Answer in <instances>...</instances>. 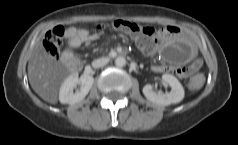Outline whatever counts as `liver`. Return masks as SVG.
Returning <instances> with one entry per match:
<instances>
[{
  "label": "liver",
  "mask_w": 238,
  "mask_h": 145,
  "mask_svg": "<svg viewBox=\"0 0 238 145\" xmlns=\"http://www.w3.org/2000/svg\"><path fill=\"white\" fill-rule=\"evenodd\" d=\"M77 68L74 60H56L42 43L35 45L28 62V78L32 89L46 102L56 104L61 82Z\"/></svg>",
  "instance_id": "liver-1"
}]
</instances>
